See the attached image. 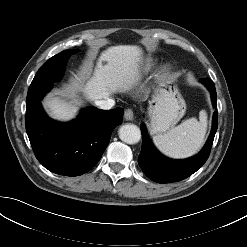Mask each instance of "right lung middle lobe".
<instances>
[{
	"mask_svg": "<svg viewBox=\"0 0 247 247\" xmlns=\"http://www.w3.org/2000/svg\"><path fill=\"white\" fill-rule=\"evenodd\" d=\"M72 53H75V50H65L51 57L38 70L30 86L40 88L50 82L59 80L63 74L66 62Z\"/></svg>",
	"mask_w": 247,
	"mask_h": 247,
	"instance_id": "dd1d6c3e",
	"label": "right lung middle lobe"
}]
</instances>
